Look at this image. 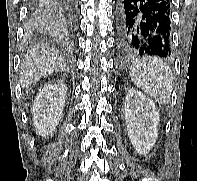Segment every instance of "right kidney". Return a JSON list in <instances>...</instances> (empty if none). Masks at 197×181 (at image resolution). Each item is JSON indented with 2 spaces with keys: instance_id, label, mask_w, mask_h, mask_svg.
Wrapping results in <instances>:
<instances>
[{
  "instance_id": "right-kidney-1",
  "label": "right kidney",
  "mask_w": 197,
  "mask_h": 181,
  "mask_svg": "<svg viewBox=\"0 0 197 181\" xmlns=\"http://www.w3.org/2000/svg\"><path fill=\"white\" fill-rule=\"evenodd\" d=\"M67 97L64 83H50L41 90L33 104V122L36 132L43 136L51 135L63 116Z\"/></svg>"
}]
</instances>
